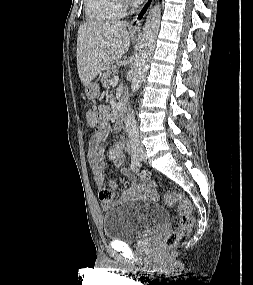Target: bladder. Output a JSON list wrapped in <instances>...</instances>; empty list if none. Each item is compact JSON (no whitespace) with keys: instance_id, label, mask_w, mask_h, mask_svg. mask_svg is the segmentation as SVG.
Masks as SVG:
<instances>
[{"instance_id":"1","label":"bladder","mask_w":253,"mask_h":285,"mask_svg":"<svg viewBox=\"0 0 253 285\" xmlns=\"http://www.w3.org/2000/svg\"><path fill=\"white\" fill-rule=\"evenodd\" d=\"M167 220V211L159 205L119 201L104 213L102 231L107 240L132 243Z\"/></svg>"}]
</instances>
